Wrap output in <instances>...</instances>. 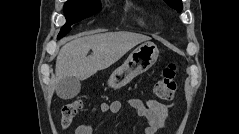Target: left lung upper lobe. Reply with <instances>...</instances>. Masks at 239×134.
<instances>
[{"mask_svg": "<svg viewBox=\"0 0 239 134\" xmlns=\"http://www.w3.org/2000/svg\"><path fill=\"white\" fill-rule=\"evenodd\" d=\"M170 7L176 9L178 12H181L183 5L181 0H164Z\"/></svg>", "mask_w": 239, "mask_h": 134, "instance_id": "5c2ea615", "label": "left lung upper lobe"}]
</instances>
